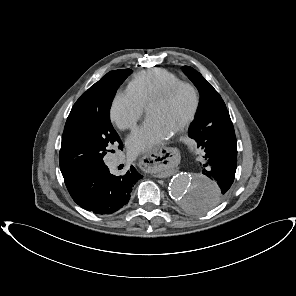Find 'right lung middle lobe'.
<instances>
[{"label": "right lung middle lobe", "mask_w": 296, "mask_h": 296, "mask_svg": "<svg viewBox=\"0 0 296 296\" xmlns=\"http://www.w3.org/2000/svg\"><path fill=\"white\" fill-rule=\"evenodd\" d=\"M130 69L107 73L74 104L65 124L60 149V169L65 178L103 163V158L121 140L109 111L116 90Z\"/></svg>", "instance_id": "obj_1"}]
</instances>
